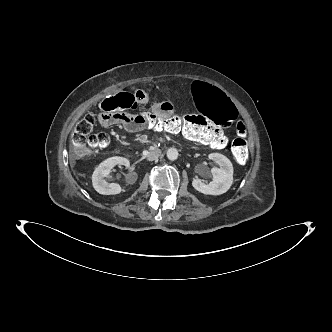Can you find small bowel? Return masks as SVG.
<instances>
[{"label":"small bowel","mask_w":332,"mask_h":332,"mask_svg":"<svg viewBox=\"0 0 332 332\" xmlns=\"http://www.w3.org/2000/svg\"><path fill=\"white\" fill-rule=\"evenodd\" d=\"M138 105H145L149 101L148 94L143 90L136 92ZM155 115L166 117L174 112V106L170 102H155L151 108ZM97 123L100 126L122 127L129 133H138L146 130L145 124H142V116L132 111H114L108 113H100L97 116Z\"/></svg>","instance_id":"c3829d8e"}]
</instances>
